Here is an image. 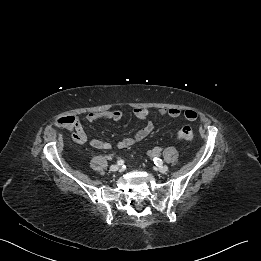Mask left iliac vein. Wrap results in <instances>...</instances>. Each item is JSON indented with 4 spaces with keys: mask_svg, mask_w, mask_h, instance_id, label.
Returning a JSON list of instances; mask_svg holds the SVG:
<instances>
[{
    "mask_svg": "<svg viewBox=\"0 0 261 261\" xmlns=\"http://www.w3.org/2000/svg\"><path fill=\"white\" fill-rule=\"evenodd\" d=\"M160 173H166L168 171V167L166 165H162L158 168Z\"/></svg>",
    "mask_w": 261,
    "mask_h": 261,
    "instance_id": "obj_1",
    "label": "left iliac vein"
}]
</instances>
